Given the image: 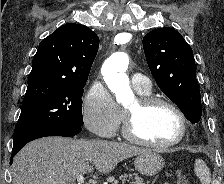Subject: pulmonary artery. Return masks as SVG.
Segmentation results:
<instances>
[{
  "label": "pulmonary artery",
  "instance_id": "1",
  "mask_svg": "<svg viewBox=\"0 0 224 184\" xmlns=\"http://www.w3.org/2000/svg\"><path fill=\"white\" fill-rule=\"evenodd\" d=\"M132 85L136 91H150V80L141 73H133L131 75Z\"/></svg>",
  "mask_w": 224,
  "mask_h": 184
}]
</instances>
